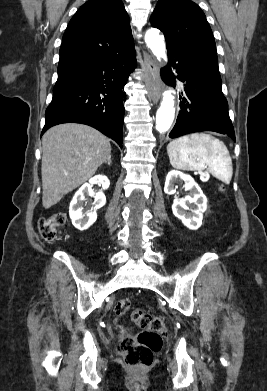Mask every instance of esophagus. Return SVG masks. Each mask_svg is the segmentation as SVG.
Segmentation results:
<instances>
[{
    "instance_id": "esophagus-1",
    "label": "esophagus",
    "mask_w": 267,
    "mask_h": 391,
    "mask_svg": "<svg viewBox=\"0 0 267 391\" xmlns=\"http://www.w3.org/2000/svg\"><path fill=\"white\" fill-rule=\"evenodd\" d=\"M144 63L150 94L153 101L156 103L160 99L163 91V85L160 81L159 66L148 54H144Z\"/></svg>"
}]
</instances>
